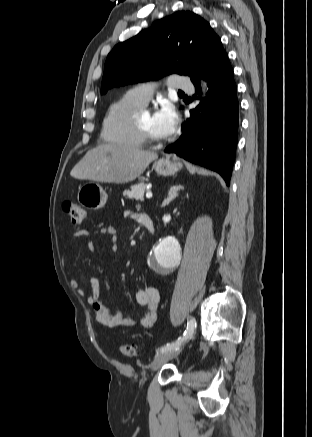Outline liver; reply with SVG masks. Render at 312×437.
<instances>
[{"instance_id":"liver-1","label":"liver","mask_w":312,"mask_h":437,"mask_svg":"<svg viewBox=\"0 0 312 437\" xmlns=\"http://www.w3.org/2000/svg\"><path fill=\"white\" fill-rule=\"evenodd\" d=\"M157 158V153L133 146L101 144L88 151L70 174L77 179L123 184L143 174Z\"/></svg>"}]
</instances>
